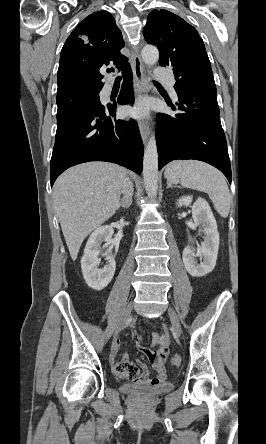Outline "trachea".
<instances>
[{
    "label": "trachea",
    "mask_w": 266,
    "mask_h": 444,
    "mask_svg": "<svg viewBox=\"0 0 266 444\" xmlns=\"http://www.w3.org/2000/svg\"><path fill=\"white\" fill-rule=\"evenodd\" d=\"M111 71H114V69L113 68H109L108 72H111ZM117 79H120V77H117Z\"/></svg>",
    "instance_id": "3493384b"
}]
</instances>
